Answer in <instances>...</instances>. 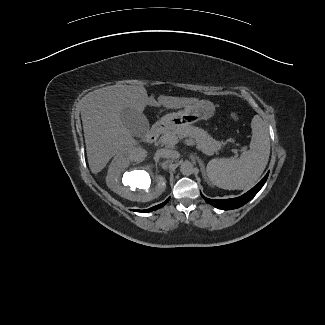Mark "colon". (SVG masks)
<instances>
[{
	"label": "colon",
	"mask_w": 325,
	"mask_h": 325,
	"mask_svg": "<svg viewBox=\"0 0 325 325\" xmlns=\"http://www.w3.org/2000/svg\"><path fill=\"white\" fill-rule=\"evenodd\" d=\"M233 118H236L237 116L235 114L232 115Z\"/></svg>",
	"instance_id": "5ec220e1"
}]
</instances>
